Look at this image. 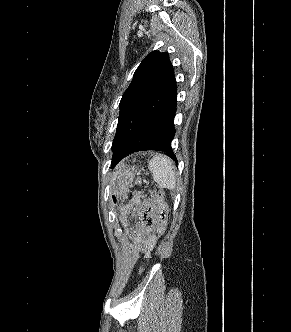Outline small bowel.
Segmentation results:
<instances>
[{
  "mask_svg": "<svg viewBox=\"0 0 291 332\" xmlns=\"http://www.w3.org/2000/svg\"><path fill=\"white\" fill-rule=\"evenodd\" d=\"M158 229L137 227L131 231L132 239L137 243H143L147 248L152 247Z\"/></svg>",
  "mask_w": 291,
  "mask_h": 332,
  "instance_id": "1",
  "label": "small bowel"
}]
</instances>
